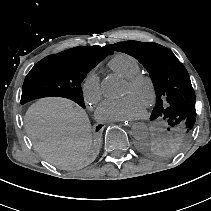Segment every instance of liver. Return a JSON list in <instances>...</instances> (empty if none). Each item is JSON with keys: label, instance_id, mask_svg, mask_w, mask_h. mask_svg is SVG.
<instances>
[{"label": "liver", "instance_id": "1", "mask_svg": "<svg viewBox=\"0 0 211 211\" xmlns=\"http://www.w3.org/2000/svg\"><path fill=\"white\" fill-rule=\"evenodd\" d=\"M24 122L35 148L55 164H75L91 145L88 117L69 100H39L29 108Z\"/></svg>", "mask_w": 211, "mask_h": 211}]
</instances>
